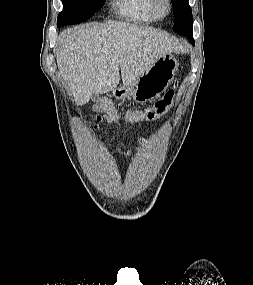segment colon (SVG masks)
<instances>
[{
  "instance_id": "1",
  "label": "colon",
  "mask_w": 253,
  "mask_h": 285,
  "mask_svg": "<svg viewBox=\"0 0 253 285\" xmlns=\"http://www.w3.org/2000/svg\"><path fill=\"white\" fill-rule=\"evenodd\" d=\"M178 82L176 81L173 88L169 89L164 96L159 99L153 106L145 110H129L125 113L124 118L129 123H137L144 120H153L159 117L173 102ZM97 110L104 113V117L110 121L115 122L119 118V114L114 106L107 102H100L97 106ZM94 127L102 120L100 114L93 116Z\"/></svg>"
}]
</instances>
